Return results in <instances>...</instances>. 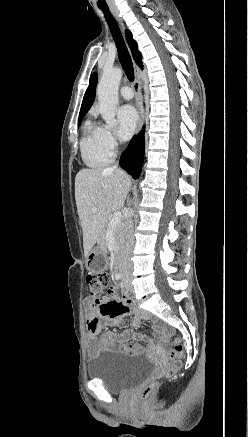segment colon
Wrapping results in <instances>:
<instances>
[{"label": "colon", "instance_id": "1", "mask_svg": "<svg viewBox=\"0 0 248 437\" xmlns=\"http://www.w3.org/2000/svg\"><path fill=\"white\" fill-rule=\"evenodd\" d=\"M87 284L89 294H100L104 289L107 288L110 275L107 272H94L87 276ZM183 352V345L179 339L173 341V348L169 351L170 363L165 369L164 376L170 377L174 375L181 367V355ZM159 381L154 380L146 384L140 391V397L142 399H147L151 396L155 388L157 387Z\"/></svg>", "mask_w": 248, "mask_h": 437}]
</instances>
